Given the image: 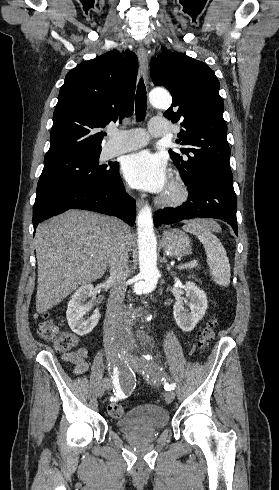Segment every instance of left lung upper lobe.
<instances>
[{"label":"left lung upper lobe","mask_w":279,"mask_h":490,"mask_svg":"<svg viewBox=\"0 0 279 490\" xmlns=\"http://www.w3.org/2000/svg\"><path fill=\"white\" fill-rule=\"evenodd\" d=\"M150 74L155 85L172 94V105L164 116L181 121L183 129L176 142L184 146L180 151L186 156L169 153L186 183L201 174L233 180L223 100L214 71L184 53L166 50L153 58Z\"/></svg>","instance_id":"left-lung-upper-lobe-1"}]
</instances>
